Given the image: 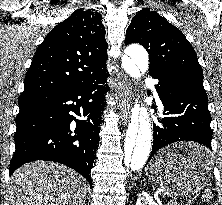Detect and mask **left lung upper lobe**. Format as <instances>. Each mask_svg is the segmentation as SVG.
Instances as JSON below:
<instances>
[{"instance_id":"obj_1","label":"left lung upper lobe","mask_w":222,"mask_h":205,"mask_svg":"<svg viewBox=\"0 0 222 205\" xmlns=\"http://www.w3.org/2000/svg\"><path fill=\"white\" fill-rule=\"evenodd\" d=\"M139 43L150 58V68L160 67L183 72L203 83L197 55L179 29L157 12L144 8L132 18L126 30L125 45Z\"/></svg>"}]
</instances>
